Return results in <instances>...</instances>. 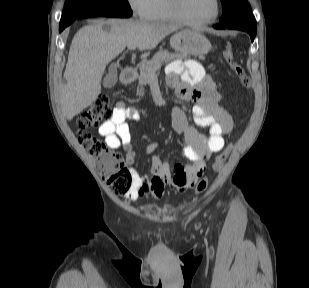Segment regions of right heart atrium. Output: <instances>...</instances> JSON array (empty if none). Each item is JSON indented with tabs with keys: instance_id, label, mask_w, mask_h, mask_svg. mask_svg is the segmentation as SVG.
<instances>
[{
	"instance_id": "1",
	"label": "right heart atrium",
	"mask_w": 309,
	"mask_h": 288,
	"mask_svg": "<svg viewBox=\"0 0 309 288\" xmlns=\"http://www.w3.org/2000/svg\"><path fill=\"white\" fill-rule=\"evenodd\" d=\"M134 14L143 19H148L154 0H127Z\"/></svg>"
}]
</instances>
